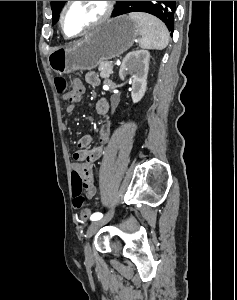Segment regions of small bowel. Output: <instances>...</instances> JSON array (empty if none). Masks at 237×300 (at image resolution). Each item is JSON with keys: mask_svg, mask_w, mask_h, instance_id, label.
<instances>
[{"mask_svg": "<svg viewBox=\"0 0 237 300\" xmlns=\"http://www.w3.org/2000/svg\"><path fill=\"white\" fill-rule=\"evenodd\" d=\"M85 81L88 85L95 87L99 84V76L94 72H89L85 75ZM83 84L81 80L74 79L72 81V90L82 87ZM67 100L66 97H64ZM75 108V103L70 102L66 111L68 113L72 112ZM98 115L105 117L102 121L99 129V141L102 144L107 143L111 137V122L106 118L109 111V103L105 98H101L96 102L95 106ZM93 138L91 135L82 136L77 142V151L73 154V158L77 163L72 164V171H79L82 180L83 187L85 189V194L87 198H92L96 193V188L94 185V176L92 165L97 161L102 154V149L100 146L90 147ZM83 217V216H82Z\"/></svg>", "mask_w": 237, "mask_h": 300, "instance_id": "obj_1", "label": "small bowel"}]
</instances>
